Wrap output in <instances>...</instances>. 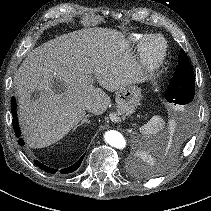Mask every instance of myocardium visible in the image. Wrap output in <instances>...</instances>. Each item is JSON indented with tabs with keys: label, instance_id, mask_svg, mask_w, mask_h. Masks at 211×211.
<instances>
[{
	"label": "myocardium",
	"instance_id": "myocardium-1",
	"mask_svg": "<svg viewBox=\"0 0 211 211\" xmlns=\"http://www.w3.org/2000/svg\"><path fill=\"white\" fill-rule=\"evenodd\" d=\"M158 40L160 49L156 54L149 51L148 43L150 40ZM168 51V43L166 39L159 34H150L143 38L139 45V58L144 77H151L164 63Z\"/></svg>",
	"mask_w": 211,
	"mask_h": 211
}]
</instances>
